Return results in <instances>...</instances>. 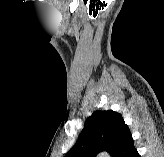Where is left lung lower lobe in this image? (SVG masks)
<instances>
[{
  "label": "left lung lower lobe",
  "instance_id": "0a47b994",
  "mask_svg": "<svg viewBox=\"0 0 164 157\" xmlns=\"http://www.w3.org/2000/svg\"><path fill=\"white\" fill-rule=\"evenodd\" d=\"M113 157H140L134 147L132 136L117 150Z\"/></svg>",
  "mask_w": 164,
  "mask_h": 157
}]
</instances>
